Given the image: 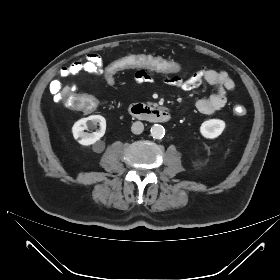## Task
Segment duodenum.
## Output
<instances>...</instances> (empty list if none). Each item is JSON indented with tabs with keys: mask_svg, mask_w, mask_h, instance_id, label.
Here are the masks:
<instances>
[{
	"mask_svg": "<svg viewBox=\"0 0 280 280\" xmlns=\"http://www.w3.org/2000/svg\"><path fill=\"white\" fill-rule=\"evenodd\" d=\"M132 117L153 123H166L171 119V114L167 109L155 108L143 103H134L129 107Z\"/></svg>",
	"mask_w": 280,
	"mask_h": 280,
	"instance_id": "410a0bca",
	"label": "duodenum"
}]
</instances>
